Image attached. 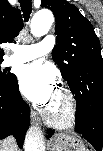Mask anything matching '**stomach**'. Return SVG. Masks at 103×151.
<instances>
[{
	"instance_id": "1",
	"label": "stomach",
	"mask_w": 103,
	"mask_h": 151,
	"mask_svg": "<svg viewBox=\"0 0 103 151\" xmlns=\"http://www.w3.org/2000/svg\"><path fill=\"white\" fill-rule=\"evenodd\" d=\"M50 151H88L83 141L77 136L59 134L49 145Z\"/></svg>"
}]
</instances>
